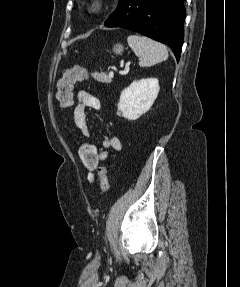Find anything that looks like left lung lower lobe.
<instances>
[{
  "instance_id": "obj_1",
  "label": "left lung lower lobe",
  "mask_w": 240,
  "mask_h": 287,
  "mask_svg": "<svg viewBox=\"0 0 240 287\" xmlns=\"http://www.w3.org/2000/svg\"><path fill=\"white\" fill-rule=\"evenodd\" d=\"M184 0H119L107 27L126 28L169 45L179 61L186 10Z\"/></svg>"
}]
</instances>
